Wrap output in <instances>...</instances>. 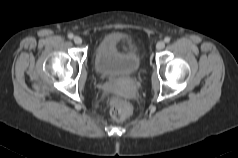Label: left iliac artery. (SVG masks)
Masks as SVG:
<instances>
[{"instance_id":"44dca946","label":"left iliac artery","mask_w":238,"mask_h":158,"mask_svg":"<svg viewBox=\"0 0 238 158\" xmlns=\"http://www.w3.org/2000/svg\"><path fill=\"white\" fill-rule=\"evenodd\" d=\"M164 41H165L166 43H169V42H170V37H165Z\"/></svg>"}]
</instances>
